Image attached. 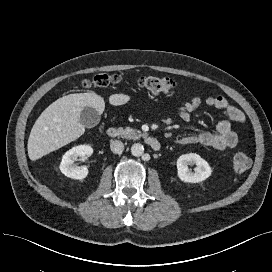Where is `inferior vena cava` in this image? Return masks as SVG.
<instances>
[{"label":"inferior vena cava","mask_w":272,"mask_h":272,"mask_svg":"<svg viewBox=\"0 0 272 272\" xmlns=\"http://www.w3.org/2000/svg\"><path fill=\"white\" fill-rule=\"evenodd\" d=\"M110 149L113 153L120 154L124 150V144L119 140H113L110 143Z\"/></svg>","instance_id":"obj_1"}]
</instances>
